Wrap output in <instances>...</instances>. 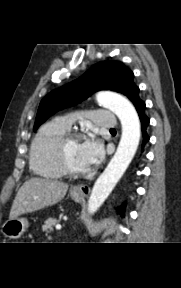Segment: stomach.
Wrapping results in <instances>:
<instances>
[{
	"label": "stomach",
	"instance_id": "1",
	"mask_svg": "<svg viewBox=\"0 0 181 288\" xmlns=\"http://www.w3.org/2000/svg\"><path fill=\"white\" fill-rule=\"evenodd\" d=\"M70 196L75 202H80L83 199L81 195L74 192H71ZM28 225V221L25 218L16 216L14 218H9V220L3 224L1 231L6 238L15 240L23 235L28 228Z\"/></svg>",
	"mask_w": 181,
	"mask_h": 288
}]
</instances>
